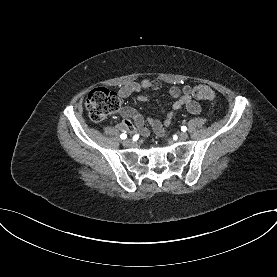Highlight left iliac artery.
<instances>
[{
  "label": "left iliac artery",
  "mask_w": 277,
  "mask_h": 277,
  "mask_svg": "<svg viewBox=\"0 0 277 277\" xmlns=\"http://www.w3.org/2000/svg\"><path fill=\"white\" fill-rule=\"evenodd\" d=\"M181 130H182L183 132H185V131L187 130V127H186V126H182V127H181Z\"/></svg>",
  "instance_id": "1"
}]
</instances>
